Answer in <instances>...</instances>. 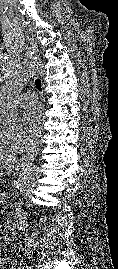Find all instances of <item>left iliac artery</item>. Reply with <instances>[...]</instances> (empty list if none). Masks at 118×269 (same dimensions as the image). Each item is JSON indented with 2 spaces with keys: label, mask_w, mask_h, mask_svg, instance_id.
Here are the masks:
<instances>
[{
  "label": "left iliac artery",
  "mask_w": 118,
  "mask_h": 269,
  "mask_svg": "<svg viewBox=\"0 0 118 269\" xmlns=\"http://www.w3.org/2000/svg\"><path fill=\"white\" fill-rule=\"evenodd\" d=\"M22 269H31V267L23 266Z\"/></svg>",
  "instance_id": "obj_1"
}]
</instances>
